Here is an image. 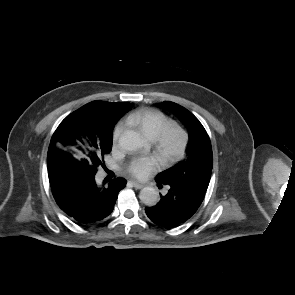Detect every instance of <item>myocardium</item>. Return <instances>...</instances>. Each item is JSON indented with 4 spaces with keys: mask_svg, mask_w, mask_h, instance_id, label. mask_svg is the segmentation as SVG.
<instances>
[{
    "mask_svg": "<svg viewBox=\"0 0 295 295\" xmlns=\"http://www.w3.org/2000/svg\"><path fill=\"white\" fill-rule=\"evenodd\" d=\"M188 141L187 130L179 123L170 121L154 138L153 143L163 163L171 165L184 157Z\"/></svg>",
    "mask_w": 295,
    "mask_h": 295,
    "instance_id": "obj_1",
    "label": "myocardium"
}]
</instances>
